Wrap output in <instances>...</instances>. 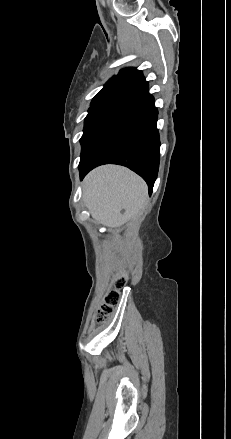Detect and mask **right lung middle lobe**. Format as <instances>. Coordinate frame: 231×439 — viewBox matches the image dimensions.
I'll list each match as a JSON object with an SVG mask.
<instances>
[{
    "label": "right lung middle lobe",
    "mask_w": 231,
    "mask_h": 439,
    "mask_svg": "<svg viewBox=\"0 0 231 439\" xmlns=\"http://www.w3.org/2000/svg\"><path fill=\"white\" fill-rule=\"evenodd\" d=\"M141 107L135 97H113L91 103L85 118L81 158L111 130L117 126L141 116Z\"/></svg>",
    "instance_id": "right-lung-middle-lobe-1"
}]
</instances>
